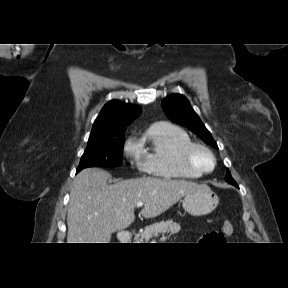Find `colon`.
I'll list each match as a JSON object with an SVG mask.
<instances>
[{
    "label": "colon",
    "mask_w": 288,
    "mask_h": 288,
    "mask_svg": "<svg viewBox=\"0 0 288 288\" xmlns=\"http://www.w3.org/2000/svg\"><path fill=\"white\" fill-rule=\"evenodd\" d=\"M233 233V225L230 222H225L222 226V230L219 233H212L209 236L210 242H222L226 237Z\"/></svg>",
    "instance_id": "1"
}]
</instances>
